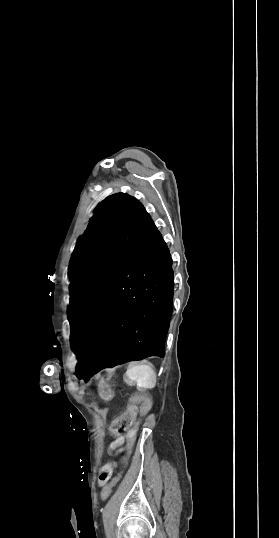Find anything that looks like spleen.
<instances>
[{"label": "spleen", "instance_id": "obj_1", "mask_svg": "<svg viewBox=\"0 0 279 538\" xmlns=\"http://www.w3.org/2000/svg\"><path fill=\"white\" fill-rule=\"evenodd\" d=\"M128 380H135L136 387L141 388V393L150 392V388H154L156 384V374L152 368V364H149V366H146V364H142V366H132L130 370L127 372Z\"/></svg>", "mask_w": 279, "mask_h": 538}]
</instances>
